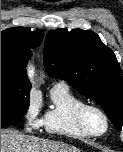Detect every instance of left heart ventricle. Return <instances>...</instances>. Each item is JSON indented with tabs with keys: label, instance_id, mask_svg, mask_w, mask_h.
<instances>
[{
	"label": "left heart ventricle",
	"instance_id": "left-heart-ventricle-1",
	"mask_svg": "<svg viewBox=\"0 0 123 152\" xmlns=\"http://www.w3.org/2000/svg\"><path fill=\"white\" fill-rule=\"evenodd\" d=\"M87 124L90 129L96 133H100L105 128L104 119L95 111H90L87 115Z\"/></svg>",
	"mask_w": 123,
	"mask_h": 152
}]
</instances>
